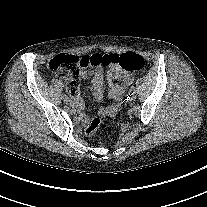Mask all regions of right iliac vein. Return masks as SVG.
Wrapping results in <instances>:
<instances>
[{"instance_id": "63e3f726", "label": "right iliac vein", "mask_w": 207, "mask_h": 207, "mask_svg": "<svg viewBox=\"0 0 207 207\" xmlns=\"http://www.w3.org/2000/svg\"><path fill=\"white\" fill-rule=\"evenodd\" d=\"M64 102H65L66 104H70V99L66 98V99H64Z\"/></svg>"}]
</instances>
